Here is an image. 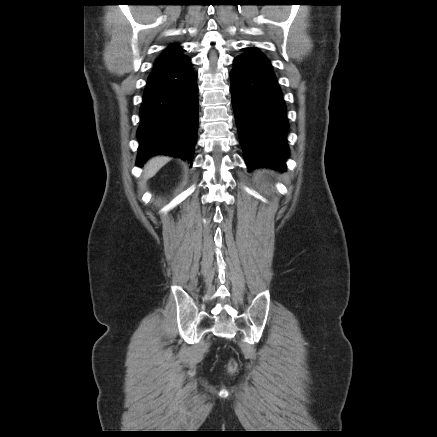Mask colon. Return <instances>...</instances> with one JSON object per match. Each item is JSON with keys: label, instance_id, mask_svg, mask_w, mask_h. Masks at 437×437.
<instances>
[{"label": "colon", "instance_id": "5ec220e1", "mask_svg": "<svg viewBox=\"0 0 437 437\" xmlns=\"http://www.w3.org/2000/svg\"><path fill=\"white\" fill-rule=\"evenodd\" d=\"M236 367H237V363H236V361L235 360H230L229 361V363H228V370L230 371V372H234L235 370H236Z\"/></svg>", "mask_w": 437, "mask_h": 437}]
</instances>
